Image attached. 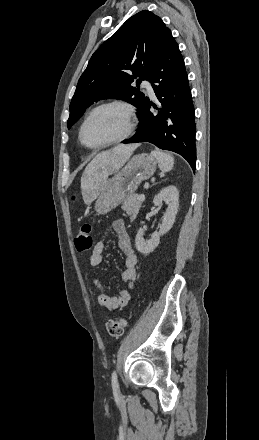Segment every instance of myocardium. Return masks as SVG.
Returning a JSON list of instances; mask_svg holds the SVG:
<instances>
[{
	"instance_id": "myocardium-1",
	"label": "myocardium",
	"mask_w": 259,
	"mask_h": 440,
	"mask_svg": "<svg viewBox=\"0 0 259 440\" xmlns=\"http://www.w3.org/2000/svg\"><path fill=\"white\" fill-rule=\"evenodd\" d=\"M111 106H117V107H120L124 110L125 117H126V130H125V132L121 136H119L118 138H115L113 140H110V141H107V142H104L101 144H97V145L86 144L83 140V129H84L87 121L98 110L106 108V107H111ZM135 129H136V113H135V109H134L133 105L125 100L112 99V100H108V101H105V102H102V103L96 105L90 111L87 112V114L85 115V117L83 118V120L80 124L79 130H78V139H79L80 143L85 148L90 149V150H98V149H101V148H104L107 146H111L114 144H118V143L125 141L126 139H128L129 137H131L133 135V133L135 132Z\"/></svg>"
}]
</instances>
